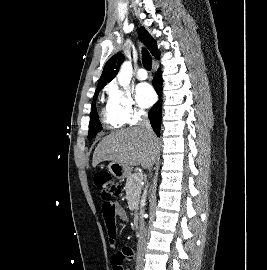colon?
<instances>
[{"label": "colon", "mask_w": 267, "mask_h": 270, "mask_svg": "<svg viewBox=\"0 0 267 270\" xmlns=\"http://www.w3.org/2000/svg\"><path fill=\"white\" fill-rule=\"evenodd\" d=\"M94 183L99 189L100 196L105 202L110 201L112 198L117 197L121 194V186L117 183L114 178L105 172H101L95 175ZM112 269H122V258L119 255H114L112 258Z\"/></svg>", "instance_id": "5ec220e1"}]
</instances>
